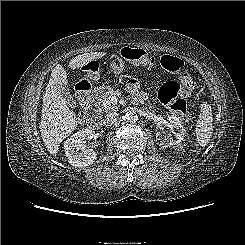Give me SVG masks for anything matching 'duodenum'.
I'll return each mask as SVG.
<instances>
[{"label": "duodenum", "instance_id": "duodenum-1", "mask_svg": "<svg viewBox=\"0 0 245 245\" xmlns=\"http://www.w3.org/2000/svg\"><path fill=\"white\" fill-rule=\"evenodd\" d=\"M103 91V88H97L90 92L82 85L79 87L78 98L81 105L87 110V122L91 128H98L101 123V117L96 107V102L103 94Z\"/></svg>", "mask_w": 245, "mask_h": 245}]
</instances>
